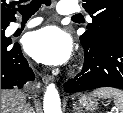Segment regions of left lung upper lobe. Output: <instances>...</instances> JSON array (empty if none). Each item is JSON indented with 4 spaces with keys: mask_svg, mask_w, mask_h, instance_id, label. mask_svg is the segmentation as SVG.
Listing matches in <instances>:
<instances>
[{
    "mask_svg": "<svg viewBox=\"0 0 123 113\" xmlns=\"http://www.w3.org/2000/svg\"><path fill=\"white\" fill-rule=\"evenodd\" d=\"M82 6L91 15L92 23L80 36L81 44L94 46L108 29L123 31V0H83Z\"/></svg>",
    "mask_w": 123,
    "mask_h": 113,
    "instance_id": "5c2ea615",
    "label": "left lung upper lobe"
}]
</instances>
